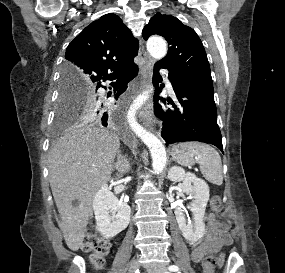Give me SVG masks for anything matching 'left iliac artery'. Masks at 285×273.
<instances>
[{"label":"left iliac artery","instance_id":"left-iliac-artery-1","mask_svg":"<svg viewBox=\"0 0 285 273\" xmlns=\"http://www.w3.org/2000/svg\"><path fill=\"white\" fill-rule=\"evenodd\" d=\"M169 271L171 272H178L179 271V267L176 265H171L168 267Z\"/></svg>","mask_w":285,"mask_h":273}]
</instances>
